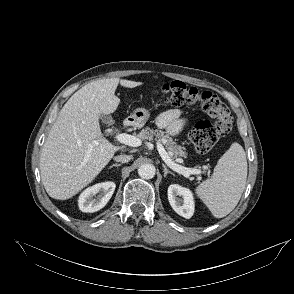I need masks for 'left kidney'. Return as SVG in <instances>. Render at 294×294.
<instances>
[{
	"label": "left kidney",
	"mask_w": 294,
	"mask_h": 294,
	"mask_svg": "<svg viewBox=\"0 0 294 294\" xmlns=\"http://www.w3.org/2000/svg\"><path fill=\"white\" fill-rule=\"evenodd\" d=\"M168 200L173 210L180 216L186 219L193 216L195 205L194 197L190 189L178 184H172L168 187Z\"/></svg>",
	"instance_id": "1"
}]
</instances>
